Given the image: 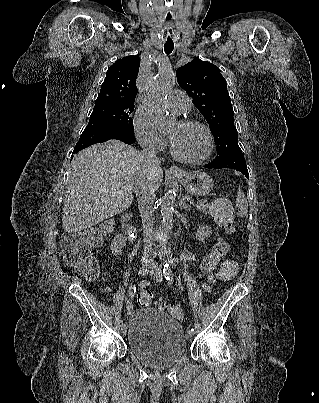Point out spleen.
<instances>
[{
	"label": "spleen",
	"mask_w": 319,
	"mask_h": 403,
	"mask_svg": "<svg viewBox=\"0 0 319 403\" xmlns=\"http://www.w3.org/2000/svg\"><path fill=\"white\" fill-rule=\"evenodd\" d=\"M236 206L238 208V215L241 217L247 216L248 212V203L244 192L241 189H238L236 196Z\"/></svg>",
	"instance_id": "1"
}]
</instances>
